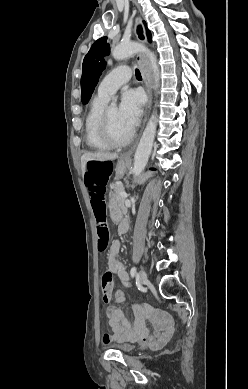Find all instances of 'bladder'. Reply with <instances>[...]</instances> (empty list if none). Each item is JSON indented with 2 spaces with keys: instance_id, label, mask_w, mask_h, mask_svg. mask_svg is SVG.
I'll list each match as a JSON object with an SVG mask.
<instances>
[{
  "instance_id": "1",
  "label": "bladder",
  "mask_w": 248,
  "mask_h": 389,
  "mask_svg": "<svg viewBox=\"0 0 248 389\" xmlns=\"http://www.w3.org/2000/svg\"><path fill=\"white\" fill-rule=\"evenodd\" d=\"M114 348L124 354L130 353L133 350V346L130 344L115 342Z\"/></svg>"
}]
</instances>
